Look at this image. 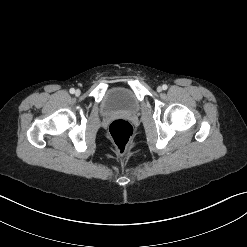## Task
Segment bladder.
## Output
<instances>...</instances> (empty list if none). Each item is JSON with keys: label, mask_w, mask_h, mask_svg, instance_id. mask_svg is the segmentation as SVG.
<instances>
[{"label": "bladder", "mask_w": 247, "mask_h": 247, "mask_svg": "<svg viewBox=\"0 0 247 247\" xmlns=\"http://www.w3.org/2000/svg\"><path fill=\"white\" fill-rule=\"evenodd\" d=\"M139 102L135 94L126 87L111 88L103 101V110L106 113H135L138 110Z\"/></svg>", "instance_id": "bladder-1"}]
</instances>
